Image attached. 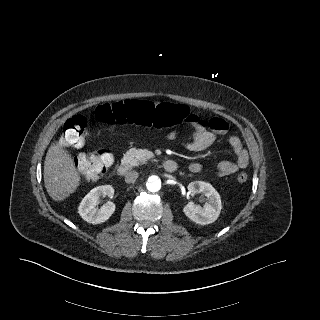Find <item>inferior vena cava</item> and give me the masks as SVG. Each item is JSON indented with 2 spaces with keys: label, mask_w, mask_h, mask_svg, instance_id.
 <instances>
[{
  "label": "inferior vena cava",
  "mask_w": 320,
  "mask_h": 320,
  "mask_svg": "<svg viewBox=\"0 0 320 320\" xmlns=\"http://www.w3.org/2000/svg\"><path fill=\"white\" fill-rule=\"evenodd\" d=\"M139 174L136 171H130L125 176L126 183H133L138 178Z\"/></svg>",
  "instance_id": "inferior-vena-cava-1"
}]
</instances>
